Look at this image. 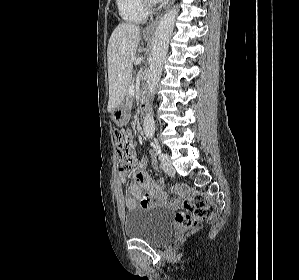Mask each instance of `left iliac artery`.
Segmentation results:
<instances>
[{
  "label": "left iliac artery",
  "instance_id": "left-iliac-artery-1",
  "mask_svg": "<svg viewBox=\"0 0 299 280\" xmlns=\"http://www.w3.org/2000/svg\"><path fill=\"white\" fill-rule=\"evenodd\" d=\"M154 148L157 150L158 152V157L161 161L165 160L167 158V154H164L160 151L159 146L155 145Z\"/></svg>",
  "mask_w": 299,
  "mask_h": 280
}]
</instances>
